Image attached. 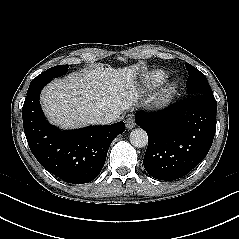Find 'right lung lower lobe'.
I'll list each match as a JSON object with an SVG mask.
<instances>
[{
  "label": "right lung lower lobe",
  "mask_w": 239,
  "mask_h": 239,
  "mask_svg": "<svg viewBox=\"0 0 239 239\" xmlns=\"http://www.w3.org/2000/svg\"><path fill=\"white\" fill-rule=\"evenodd\" d=\"M47 83L30 84L22 108L24 132L38 162L65 182L83 184L102 170L114 138L125 131L124 122L62 131L50 125L39 95Z\"/></svg>",
  "instance_id": "1"
}]
</instances>
